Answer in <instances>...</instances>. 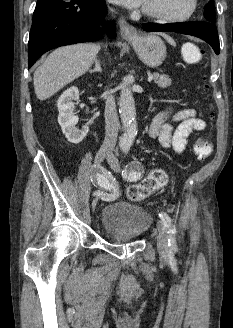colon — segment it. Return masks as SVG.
<instances>
[{
  "label": "colon",
  "instance_id": "5ec220e1",
  "mask_svg": "<svg viewBox=\"0 0 233 328\" xmlns=\"http://www.w3.org/2000/svg\"><path fill=\"white\" fill-rule=\"evenodd\" d=\"M202 51L194 44H187L183 48V57L187 62H196L200 60ZM193 152L200 160H204L212 152L211 144L200 137L194 144ZM167 183V175L162 169L152 170L141 182L132 185L127 190L129 200L138 202L148 197L154 191L162 188Z\"/></svg>",
  "mask_w": 233,
  "mask_h": 328
}]
</instances>
